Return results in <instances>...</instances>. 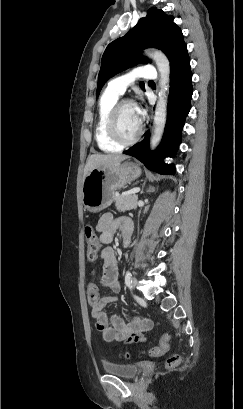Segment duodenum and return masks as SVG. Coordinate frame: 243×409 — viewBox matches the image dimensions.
Listing matches in <instances>:
<instances>
[{
  "mask_svg": "<svg viewBox=\"0 0 243 409\" xmlns=\"http://www.w3.org/2000/svg\"><path fill=\"white\" fill-rule=\"evenodd\" d=\"M122 239L124 244H128L131 239V233L129 231L124 232Z\"/></svg>",
  "mask_w": 243,
  "mask_h": 409,
  "instance_id": "410a0bca",
  "label": "duodenum"
}]
</instances>
